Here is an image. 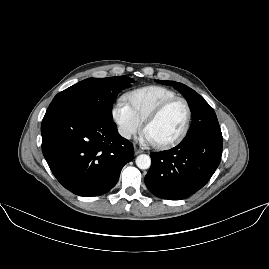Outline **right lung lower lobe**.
Masks as SVG:
<instances>
[{"mask_svg": "<svg viewBox=\"0 0 269 269\" xmlns=\"http://www.w3.org/2000/svg\"><path fill=\"white\" fill-rule=\"evenodd\" d=\"M41 134L42 152L53 175L83 197L111 190L134 156L132 143L118 134L112 120L83 107L50 104Z\"/></svg>", "mask_w": 269, "mask_h": 269, "instance_id": "98d812e1", "label": "right lung lower lobe"}]
</instances>
